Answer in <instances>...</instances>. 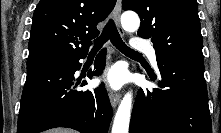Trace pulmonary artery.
<instances>
[{"label":"pulmonary artery","instance_id":"e3ab8cb5","mask_svg":"<svg viewBox=\"0 0 221 133\" xmlns=\"http://www.w3.org/2000/svg\"><path fill=\"white\" fill-rule=\"evenodd\" d=\"M131 46H132V49L135 51L138 50V51L145 52L151 64L157 68L156 52L152 45H150L149 43L145 41L135 39L134 41H132Z\"/></svg>","mask_w":221,"mask_h":133}]
</instances>
